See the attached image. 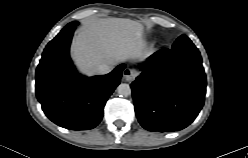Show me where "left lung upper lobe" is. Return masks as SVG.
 <instances>
[{"label": "left lung upper lobe", "instance_id": "left-lung-upper-lobe-1", "mask_svg": "<svg viewBox=\"0 0 248 158\" xmlns=\"http://www.w3.org/2000/svg\"><path fill=\"white\" fill-rule=\"evenodd\" d=\"M183 36V38H188L187 36H185V35H182ZM182 36H180V37H182Z\"/></svg>", "mask_w": 248, "mask_h": 158}]
</instances>
